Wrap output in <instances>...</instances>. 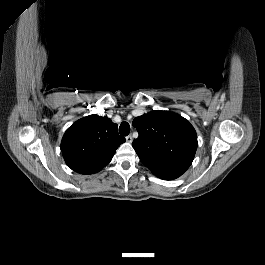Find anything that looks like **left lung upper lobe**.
Returning <instances> with one entry per match:
<instances>
[{
  "label": "left lung upper lobe",
  "instance_id": "1",
  "mask_svg": "<svg viewBox=\"0 0 265 265\" xmlns=\"http://www.w3.org/2000/svg\"><path fill=\"white\" fill-rule=\"evenodd\" d=\"M139 137L132 143L140 160L149 168L192 162L197 134L190 122L170 111H151L133 120Z\"/></svg>",
  "mask_w": 265,
  "mask_h": 265
}]
</instances>
